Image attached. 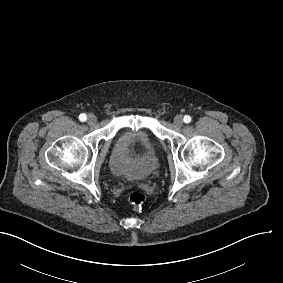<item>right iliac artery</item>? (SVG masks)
I'll return each mask as SVG.
<instances>
[{"label": "right iliac artery", "instance_id": "right-iliac-artery-1", "mask_svg": "<svg viewBox=\"0 0 283 283\" xmlns=\"http://www.w3.org/2000/svg\"><path fill=\"white\" fill-rule=\"evenodd\" d=\"M87 119V116H86V114H80L79 115V120L81 121V122H84L85 120Z\"/></svg>", "mask_w": 283, "mask_h": 283}]
</instances>
